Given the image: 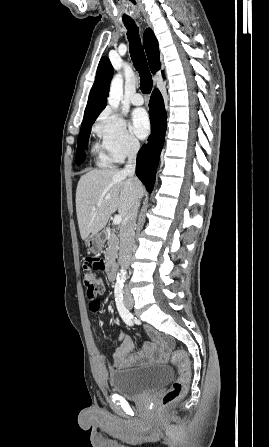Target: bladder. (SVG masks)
Masks as SVG:
<instances>
[{"label": "bladder", "instance_id": "bladder-1", "mask_svg": "<svg viewBox=\"0 0 269 447\" xmlns=\"http://www.w3.org/2000/svg\"><path fill=\"white\" fill-rule=\"evenodd\" d=\"M172 377L170 366L152 365L112 373L109 384L112 392L119 393L121 397L141 398L171 381Z\"/></svg>", "mask_w": 269, "mask_h": 447}]
</instances>
